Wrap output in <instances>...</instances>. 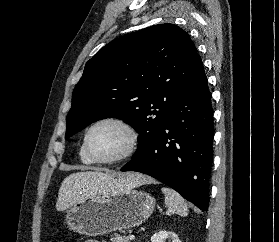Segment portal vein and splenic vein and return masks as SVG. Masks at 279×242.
<instances>
[{"label":"portal vein and splenic vein","mask_w":279,"mask_h":242,"mask_svg":"<svg viewBox=\"0 0 279 242\" xmlns=\"http://www.w3.org/2000/svg\"><path fill=\"white\" fill-rule=\"evenodd\" d=\"M134 238H135L134 235H130V236H129V239H130V240H133Z\"/></svg>","instance_id":"portal-vein-and-splenic-vein-1"}]
</instances>
